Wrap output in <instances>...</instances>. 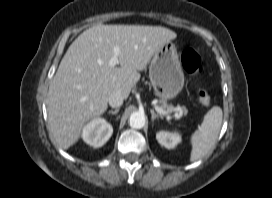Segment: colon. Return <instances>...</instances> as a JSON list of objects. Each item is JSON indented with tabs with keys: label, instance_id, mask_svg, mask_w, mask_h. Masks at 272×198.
I'll return each mask as SVG.
<instances>
[{
	"label": "colon",
	"instance_id": "obj_1",
	"mask_svg": "<svg viewBox=\"0 0 272 198\" xmlns=\"http://www.w3.org/2000/svg\"><path fill=\"white\" fill-rule=\"evenodd\" d=\"M182 65L187 73L198 75L202 72L203 67L201 59L197 52L189 47H185L180 52ZM198 101L202 104H208L211 100V93L206 88H201L197 92Z\"/></svg>",
	"mask_w": 272,
	"mask_h": 198
}]
</instances>
